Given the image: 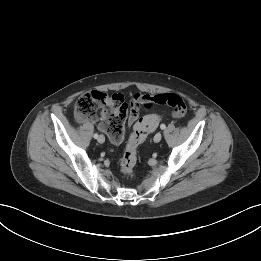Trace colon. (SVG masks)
<instances>
[{
	"label": "colon",
	"mask_w": 261,
	"mask_h": 261,
	"mask_svg": "<svg viewBox=\"0 0 261 261\" xmlns=\"http://www.w3.org/2000/svg\"><path fill=\"white\" fill-rule=\"evenodd\" d=\"M154 103L168 106L175 117H182L186 113L183 99L174 93L155 95ZM74 113L79 122L96 120L101 117L100 127L110 137V141L114 144H121L124 141L123 132L128 116V106L118 95H109L100 91L85 93L77 99ZM159 120V116L149 115L135 123L120 162V170L123 174L133 175L138 148L147 135L156 129Z\"/></svg>",
	"instance_id": "5ec220e1"
}]
</instances>
